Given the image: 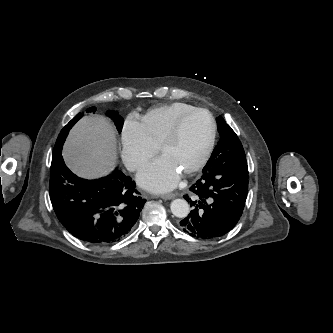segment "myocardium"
I'll return each instance as SVG.
<instances>
[{
	"instance_id": "f54148a6",
	"label": "myocardium",
	"mask_w": 333,
	"mask_h": 333,
	"mask_svg": "<svg viewBox=\"0 0 333 333\" xmlns=\"http://www.w3.org/2000/svg\"><path fill=\"white\" fill-rule=\"evenodd\" d=\"M198 112H203L208 115L209 120H210V133H209V137H208L206 146H205L199 160L192 167H190L189 169L185 170L182 173L184 176H190V175L198 172L199 170H201L206 165V163L208 162V160L212 154V151H213L214 145H215L216 134H217V125H216V120H215L213 114L208 109L202 108V107H195L189 111L184 112L176 119V121L173 123V125L168 130V132L166 133V135L163 137V139L161 140V142L159 144V151L161 153H163L164 149L178 138L180 131L182 129V126H183L184 122L186 121V119L188 117H190L191 115L198 113Z\"/></svg>"
}]
</instances>
